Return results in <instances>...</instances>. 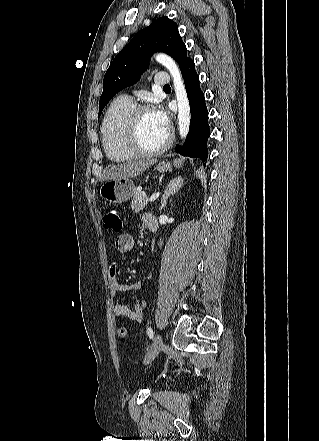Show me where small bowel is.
Instances as JSON below:
<instances>
[{
	"label": "small bowel",
	"instance_id": "small-bowel-1",
	"mask_svg": "<svg viewBox=\"0 0 319 441\" xmlns=\"http://www.w3.org/2000/svg\"><path fill=\"white\" fill-rule=\"evenodd\" d=\"M142 223L147 228L150 226H154L156 228L157 226L156 218L150 213H146L142 216ZM115 246L121 253H130L135 248V240L130 234H121L116 238ZM109 274V291L113 299H117V293L119 291L132 292L136 298V305L134 309H130L123 303L115 302L113 306L114 314L117 317H124L135 323H141L146 307V302L138 299L136 296L137 291L141 288V283L138 281L133 283L120 282L115 275V264L110 266Z\"/></svg>",
	"mask_w": 319,
	"mask_h": 441
}]
</instances>
